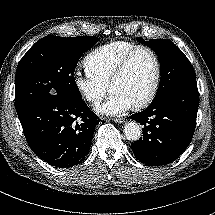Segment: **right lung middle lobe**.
<instances>
[{
  "label": "right lung middle lobe",
  "mask_w": 215,
  "mask_h": 215,
  "mask_svg": "<svg viewBox=\"0 0 215 215\" xmlns=\"http://www.w3.org/2000/svg\"><path fill=\"white\" fill-rule=\"evenodd\" d=\"M96 36H46L20 60L15 77V107L43 97L82 100L74 79L80 57L91 49Z\"/></svg>",
  "instance_id": "1"
}]
</instances>
